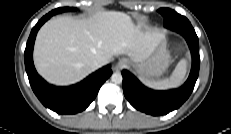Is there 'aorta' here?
<instances>
[{"instance_id": "1", "label": "aorta", "mask_w": 231, "mask_h": 134, "mask_svg": "<svg viewBox=\"0 0 231 134\" xmlns=\"http://www.w3.org/2000/svg\"><path fill=\"white\" fill-rule=\"evenodd\" d=\"M111 80H112V82H114L115 84H120V83H122V80H123V78H122V75H121V73H113L112 74V76H111Z\"/></svg>"}]
</instances>
